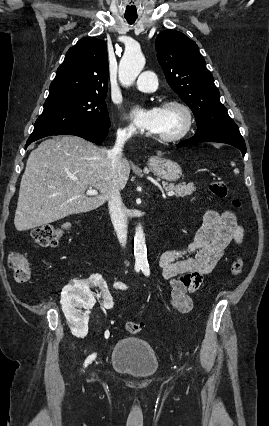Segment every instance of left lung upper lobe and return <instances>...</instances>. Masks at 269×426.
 I'll return each mask as SVG.
<instances>
[{"label":"left lung upper lobe","instance_id":"obj_1","mask_svg":"<svg viewBox=\"0 0 269 426\" xmlns=\"http://www.w3.org/2000/svg\"><path fill=\"white\" fill-rule=\"evenodd\" d=\"M155 48L168 84L192 110L198 127L230 118L195 42L179 31L165 30Z\"/></svg>","mask_w":269,"mask_h":426}]
</instances>
